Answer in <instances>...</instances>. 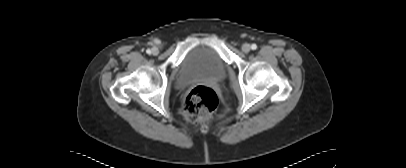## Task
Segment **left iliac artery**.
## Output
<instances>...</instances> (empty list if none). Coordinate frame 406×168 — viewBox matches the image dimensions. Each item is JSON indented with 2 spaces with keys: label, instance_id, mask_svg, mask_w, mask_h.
<instances>
[{
  "label": "left iliac artery",
  "instance_id": "44dca946",
  "mask_svg": "<svg viewBox=\"0 0 406 168\" xmlns=\"http://www.w3.org/2000/svg\"><path fill=\"white\" fill-rule=\"evenodd\" d=\"M251 49H252V50H256V49H257V45H256V44H252V45H251Z\"/></svg>",
  "mask_w": 406,
  "mask_h": 168
}]
</instances>
